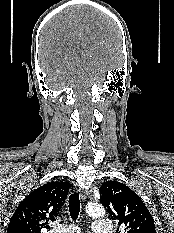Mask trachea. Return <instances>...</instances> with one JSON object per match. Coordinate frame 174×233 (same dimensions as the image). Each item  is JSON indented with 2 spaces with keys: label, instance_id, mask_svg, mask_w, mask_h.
<instances>
[{
  "label": "trachea",
  "instance_id": "obj_1",
  "mask_svg": "<svg viewBox=\"0 0 174 233\" xmlns=\"http://www.w3.org/2000/svg\"><path fill=\"white\" fill-rule=\"evenodd\" d=\"M69 212L72 220H76L80 212V199L78 193H73L69 197Z\"/></svg>",
  "mask_w": 174,
  "mask_h": 233
}]
</instances>
